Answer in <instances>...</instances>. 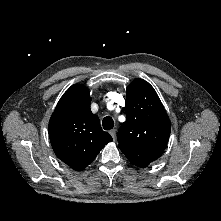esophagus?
Returning a JSON list of instances; mask_svg holds the SVG:
<instances>
[{"label":"esophagus","instance_id":"esophagus-1","mask_svg":"<svg viewBox=\"0 0 221 221\" xmlns=\"http://www.w3.org/2000/svg\"><path fill=\"white\" fill-rule=\"evenodd\" d=\"M109 133L112 136L113 140H115L116 139V129L110 130Z\"/></svg>","mask_w":221,"mask_h":221}]
</instances>
